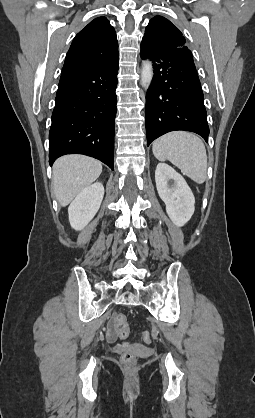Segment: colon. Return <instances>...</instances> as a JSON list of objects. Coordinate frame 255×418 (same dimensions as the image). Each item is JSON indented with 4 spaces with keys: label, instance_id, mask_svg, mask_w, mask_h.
Wrapping results in <instances>:
<instances>
[{
    "label": "colon",
    "instance_id": "obj_1",
    "mask_svg": "<svg viewBox=\"0 0 255 418\" xmlns=\"http://www.w3.org/2000/svg\"><path fill=\"white\" fill-rule=\"evenodd\" d=\"M113 323L119 337L126 338L129 335L130 330L124 314L117 313ZM142 338L146 343H149L151 341V334L144 332ZM121 361L126 365H134L136 363V356L131 352H125L121 355Z\"/></svg>",
    "mask_w": 255,
    "mask_h": 418
}]
</instances>
